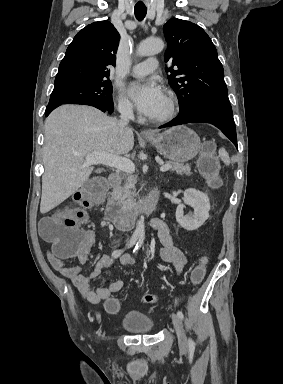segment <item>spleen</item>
I'll list each match as a JSON object with an SVG mask.
<instances>
[{
  "mask_svg": "<svg viewBox=\"0 0 283 384\" xmlns=\"http://www.w3.org/2000/svg\"><path fill=\"white\" fill-rule=\"evenodd\" d=\"M219 156H220L222 162H224L225 166H229L230 158H229V154H227L225 148H220Z\"/></svg>",
  "mask_w": 283,
  "mask_h": 384,
  "instance_id": "obj_1",
  "label": "spleen"
}]
</instances>
